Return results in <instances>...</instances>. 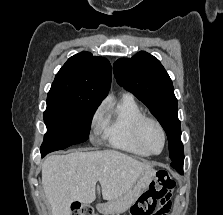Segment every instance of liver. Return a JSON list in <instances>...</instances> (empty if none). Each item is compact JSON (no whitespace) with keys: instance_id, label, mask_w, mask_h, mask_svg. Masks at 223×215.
Wrapping results in <instances>:
<instances>
[{"instance_id":"obj_1","label":"liver","mask_w":223,"mask_h":215,"mask_svg":"<svg viewBox=\"0 0 223 215\" xmlns=\"http://www.w3.org/2000/svg\"><path fill=\"white\" fill-rule=\"evenodd\" d=\"M142 163L115 149L73 151L67 155H48L42 163V185L53 215H70V203H91L96 199V183L103 199H117L136 183L144 169Z\"/></svg>"}]
</instances>
